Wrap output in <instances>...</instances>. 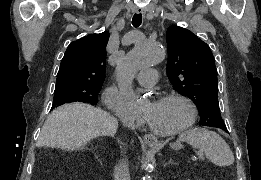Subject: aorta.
Returning <instances> with one entry per match:
<instances>
[{
    "instance_id": "762f6f07",
    "label": "aorta",
    "mask_w": 261,
    "mask_h": 180,
    "mask_svg": "<svg viewBox=\"0 0 261 180\" xmlns=\"http://www.w3.org/2000/svg\"><path fill=\"white\" fill-rule=\"evenodd\" d=\"M165 55V50L158 44L141 41L137 42L118 63L116 67L118 86L129 109L136 110L142 106L141 99L132 88V81L136 73L142 68L162 62ZM143 180H151L150 175H145Z\"/></svg>"
}]
</instances>
